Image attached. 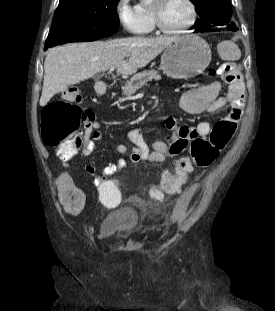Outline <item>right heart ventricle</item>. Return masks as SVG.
Returning <instances> with one entry per match:
<instances>
[{
	"mask_svg": "<svg viewBox=\"0 0 275 311\" xmlns=\"http://www.w3.org/2000/svg\"><path fill=\"white\" fill-rule=\"evenodd\" d=\"M140 13L145 17L147 22V28L145 30V34H149L153 31L155 24L152 14V8L145 5L144 3H140L137 5Z\"/></svg>",
	"mask_w": 275,
	"mask_h": 311,
	"instance_id": "right-heart-ventricle-1",
	"label": "right heart ventricle"
}]
</instances>
